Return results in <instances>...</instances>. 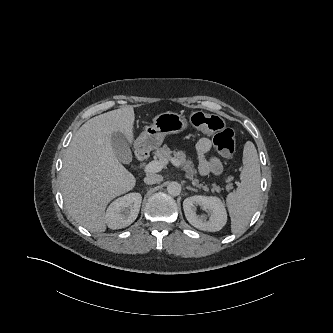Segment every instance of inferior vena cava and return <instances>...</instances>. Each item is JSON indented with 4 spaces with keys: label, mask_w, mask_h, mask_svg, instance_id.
<instances>
[{
    "label": "inferior vena cava",
    "mask_w": 333,
    "mask_h": 333,
    "mask_svg": "<svg viewBox=\"0 0 333 333\" xmlns=\"http://www.w3.org/2000/svg\"><path fill=\"white\" fill-rule=\"evenodd\" d=\"M163 180V177L158 174H149L147 177L144 178V182L146 184H156Z\"/></svg>",
    "instance_id": "obj_1"
}]
</instances>
